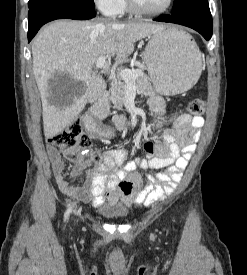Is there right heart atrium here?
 <instances>
[{
  "mask_svg": "<svg viewBox=\"0 0 247 275\" xmlns=\"http://www.w3.org/2000/svg\"><path fill=\"white\" fill-rule=\"evenodd\" d=\"M97 8L108 16L118 14L121 0H94Z\"/></svg>",
  "mask_w": 247,
  "mask_h": 275,
  "instance_id": "obj_1",
  "label": "right heart atrium"
}]
</instances>
